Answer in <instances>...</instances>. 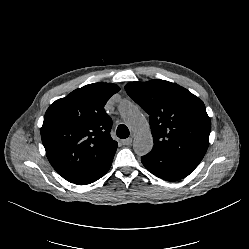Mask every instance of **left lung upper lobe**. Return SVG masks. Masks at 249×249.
Here are the masks:
<instances>
[{"mask_svg": "<svg viewBox=\"0 0 249 249\" xmlns=\"http://www.w3.org/2000/svg\"><path fill=\"white\" fill-rule=\"evenodd\" d=\"M125 90L150 115L151 152L201 162L208 148L211 122L198 97L165 80L130 82Z\"/></svg>", "mask_w": 249, "mask_h": 249, "instance_id": "1", "label": "left lung upper lobe"}]
</instances>
